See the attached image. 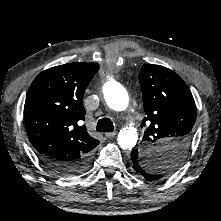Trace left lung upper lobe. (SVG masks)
<instances>
[{"label": "left lung upper lobe", "instance_id": "left-lung-upper-lobe-1", "mask_svg": "<svg viewBox=\"0 0 221 221\" xmlns=\"http://www.w3.org/2000/svg\"><path fill=\"white\" fill-rule=\"evenodd\" d=\"M139 81L146 114L141 127L147 128L141 152H150L143 161L155 181L169 176L185 158L193 138L196 106L186 83L166 67L143 65Z\"/></svg>", "mask_w": 221, "mask_h": 221}]
</instances>
